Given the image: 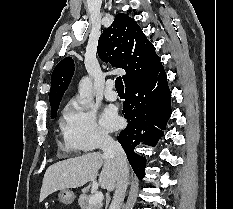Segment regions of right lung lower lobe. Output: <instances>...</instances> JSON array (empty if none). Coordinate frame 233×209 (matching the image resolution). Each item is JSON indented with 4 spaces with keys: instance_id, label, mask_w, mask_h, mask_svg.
Instances as JSON below:
<instances>
[{
    "instance_id": "right-lung-lower-lobe-1",
    "label": "right lung lower lobe",
    "mask_w": 233,
    "mask_h": 209,
    "mask_svg": "<svg viewBox=\"0 0 233 209\" xmlns=\"http://www.w3.org/2000/svg\"><path fill=\"white\" fill-rule=\"evenodd\" d=\"M125 93L122 113L128 125L117 139L126 152L135 174L142 179L146 159L137 155L134 148L140 142L155 146L163 136L162 130L166 129L171 116V92L162 64L148 77L127 87ZM142 130L145 133L141 134Z\"/></svg>"
}]
</instances>
